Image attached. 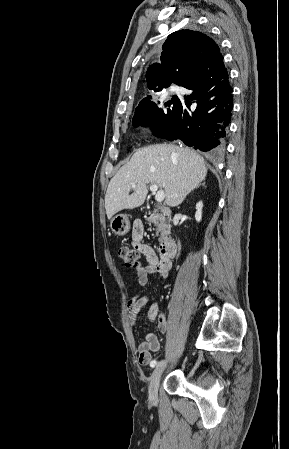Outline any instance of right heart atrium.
Here are the masks:
<instances>
[{
  "instance_id": "d8ad5b80",
  "label": "right heart atrium",
  "mask_w": 289,
  "mask_h": 449,
  "mask_svg": "<svg viewBox=\"0 0 289 449\" xmlns=\"http://www.w3.org/2000/svg\"><path fill=\"white\" fill-rule=\"evenodd\" d=\"M140 129H141L142 132H147V131L149 130V125H148V123H147V122H143V123L140 125Z\"/></svg>"
}]
</instances>
